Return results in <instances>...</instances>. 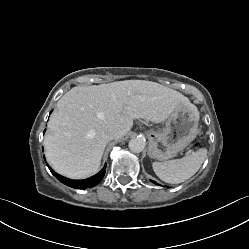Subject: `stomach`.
<instances>
[{"label":"stomach","instance_id":"stomach-1","mask_svg":"<svg viewBox=\"0 0 249 249\" xmlns=\"http://www.w3.org/2000/svg\"><path fill=\"white\" fill-rule=\"evenodd\" d=\"M199 113L190 106H179L168 117L165 128L148 132L151 158L166 161L183 151L198 134Z\"/></svg>","mask_w":249,"mask_h":249}]
</instances>
